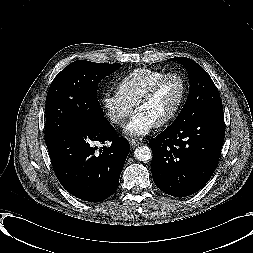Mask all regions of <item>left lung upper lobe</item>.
Masks as SVG:
<instances>
[{
	"instance_id": "1",
	"label": "left lung upper lobe",
	"mask_w": 253,
	"mask_h": 253,
	"mask_svg": "<svg viewBox=\"0 0 253 253\" xmlns=\"http://www.w3.org/2000/svg\"><path fill=\"white\" fill-rule=\"evenodd\" d=\"M170 60L179 62L188 70L190 82L187 101L171 125L223 108L217 87L199 64L186 57H175Z\"/></svg>"
}]
</instances>
